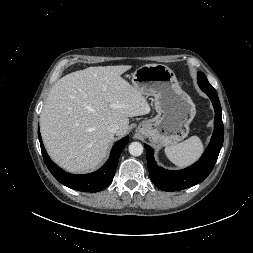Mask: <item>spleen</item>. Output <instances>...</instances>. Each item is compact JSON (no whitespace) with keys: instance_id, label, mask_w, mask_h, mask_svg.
<instances>
[{"instance_id":"3e777b00","label":"spleen","mask_w":253,"mask_h":253,"mask_svg":"<svg viewBox=\"0 0 253 253\" xmlns=\"http://www.w3.org/2000/svg\"><path fill=\"white\" fill-rule=\"evenodd\" d=\"M203 150L201 139L198 136H192L179 144L167 146L165 154L175 165L186 167L197 161Z\"/></svg>"}]
</instances>
